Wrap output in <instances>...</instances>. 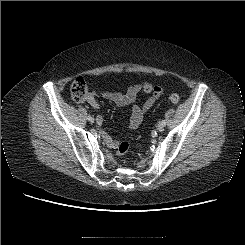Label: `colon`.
I'll return each mask as SVG.
<instances>
[{
  "instance_id": "obj_1",
  "label": "colon",
  "mask_w": 245,
  "mask_h": 245,
  "mask_svg": "<svg viewBox=\"0 0 245 245\" xmlns=\"http://www.w3.org/2000/svg\"><path fill=\"white\" fill-rule=\"evenodd\" d=\"M71 96L75 101L81 102L87 100L89 96V88L86 80L83 77H77L71 84L70 87ZM171 103H178L180 97L177 94H172L169 97ZM130 149V145L127 142H121L116 146L117 156H125Z\"/></svg>"
}]
</instances>
